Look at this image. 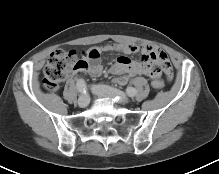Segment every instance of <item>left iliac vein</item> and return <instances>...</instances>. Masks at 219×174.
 Instances as JSON below:
<instances>
[{
  "label": "left iliac vein",
  "instance_id": "4c4485c4",
  "mask_svg": "<svg viewBox=\"0 0 219 174\" xmlns=\"http://www.w3.org/2000/svg\"><path fill=\"white\" fill-rule=\"evenodd\" d=\"M91 91L95 94L107 96L110 98L118 97L120 102L123 104L129 103V98L121 91L102 85H94L91 87Z\"/></svg>",
  "mask_w": 219,
  "mask_h": 174
}]
</instances>
